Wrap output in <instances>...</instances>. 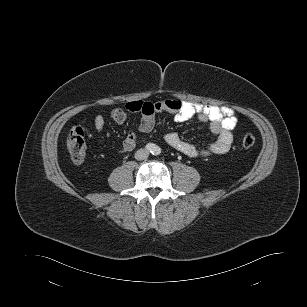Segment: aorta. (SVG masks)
<instances>
[{
  "label": "aorta",
  "instance_id": "aorta-1",
  "mask_svg": "<svg viewBox=\"0 0 307 307\" xmlns=\"http://www.w3.org/2000/svg\"><path fill=\"white\" fill-rule=\"evenodd\" d=\"M156 150H158V152H155V153H159L160 152V148L156 146L155 148Z\"/></svg>",
  "mask_w": 307,
  "mask_h": 307
}]
</instances>
